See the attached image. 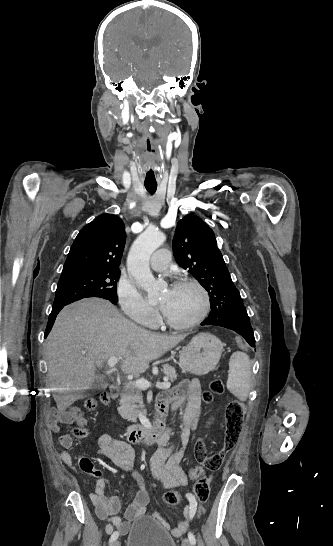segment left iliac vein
Segmentation results:
<instances>
[{
	"label": "left iliac vein",
	"instance_id": "obj_1",
	"mask_svg": "<svg viewBox=\"0 0 333 546\" xmlns=\"http://www.w3.org/2000/svg\"><path fill=\"white\" fill-rule=\"evenodd\" d=\"M182 546H192V544L190 543L189 539H183Z\"/></svg>",
	"mask_w": 333,
	"mask_h": 546
}]
</instances>
